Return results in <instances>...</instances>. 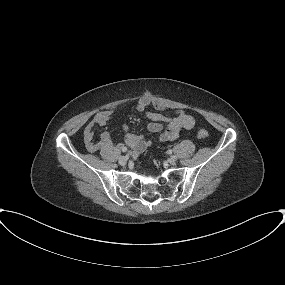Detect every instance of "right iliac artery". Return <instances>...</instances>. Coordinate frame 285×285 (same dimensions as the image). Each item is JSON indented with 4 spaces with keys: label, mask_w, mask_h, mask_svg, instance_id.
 <instances>
[{
    "label": "right iliac artery",
    "mask_w": 285,
    "mask_h": 285,
    "mask_svg": "<svg viewBox=\"0 0 285 285\" xmlns=\"http://www.w3.org/2000/svg\"><path fill=\"white\" fill-rule=\"evenodd\" d=\"M122 151H123V152H126V151H127V148L122 149Z\"/></svg>",
    "instance_id": "82829eb1"
}]
</instances>
